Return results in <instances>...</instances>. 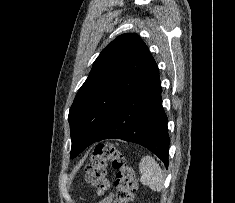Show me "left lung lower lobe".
<instances>
[{
    "mask_svg": "<svg viewBox=\"0 0 235 203\" xmlns=\"http://www.w3.org/2000/svg\"><path fill=\"white\" fill-rule=\"evenodd\" d=\"M167 121L162 107L159 70L154 61L100 135L96 136L85 129L77 134L82 139L79 150L82 151L93 142L111 138L122 139L146 147L168 168L170 139Z\"/></svg>",
    "mask_w": 235,
    "mask_h": 203,
    "instance_id": "left-lung-lower-lobe-1",
    "label": "left lung lower lobe"
}]
</instances>
